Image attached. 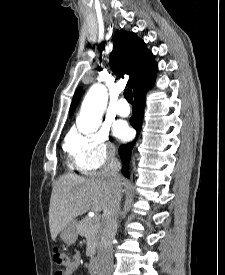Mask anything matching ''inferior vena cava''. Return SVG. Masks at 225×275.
<instances>
[{"label":"inferior vena cava","mask_w":225,"mask_h":275,"mask_svg":"<svg viewBox=\"0 0 225 275\" xmlns=\"http://www.w3.org/2000/svg\"><path fill=\"white\" fill-rule=\"evenodd\" d=\"M120 163L115 157L114 150H110L107 162L101 174L105 177L108 186L107 203L103 212L100 242L98 245L97 275H111L113 267L112 241L117 230V218L121 201Z\"/></svg>","instance_id":"602c4592"}]
</instances>
